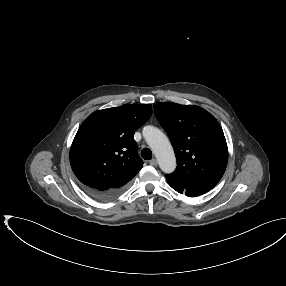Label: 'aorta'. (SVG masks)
<instances>
[{
    "label": "aorta",
    "mask_w": 286,
    "mask_h": 286,
    "mask_svg": "<svg viewBox=\"0 0 286 286\" xmlns=\"http://www.w3.org/2000/svg\"><path fill=\"white\" fill-rule=\"evenodd\" d=\"M143 136L154 152L160 169L164 173H172L176 168V158L168 137L153 126L145 127Z\"/></svg>",
    "instance_id": "aorta-1"
}]
</instances>
